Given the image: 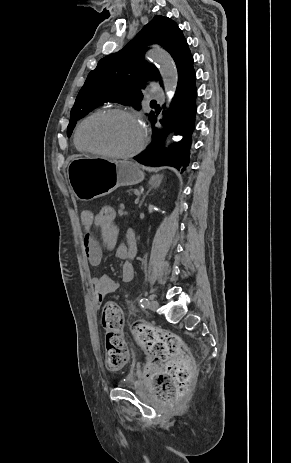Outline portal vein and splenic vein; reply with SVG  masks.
<instances>
[{"label":"portal vein and splenic vein","instance_id":"1","mask_svg":"<svg viewBox=\"0 0 291 463\" xmlns=\"http://www.w3.org/2000/svg\"><path fill=\"white\" fill-rule=\"evenodd\" d=\"M134 193H135L136 195H138V194H139V191L136 189V190H134Z\"/></svg>","mask_w":291,"mask_h":463}]
</instances>
